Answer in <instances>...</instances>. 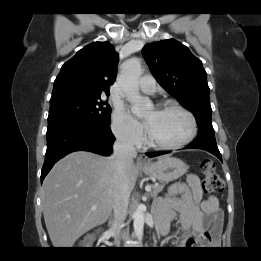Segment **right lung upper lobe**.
I'll use <instances>...</instances> for the list:
<instances>
[{
    "label": "right lung upper lobe",
    "mask_w": 261,
    "mask_h": 261,
    "mask_svg": "<svg viewBox=\"0 0 261 261\" xmlns=\"http://www.w3.org/2000/svg\"><path fill=\"white\" fill-rule=\"evenodd\" d=\"M117 54L109 42H94L63 64L54 82L53 93L75 92L87 95H109L115 81Z\"/></svg>",
    "instance_id": "obj_1"
}]
</instances>
